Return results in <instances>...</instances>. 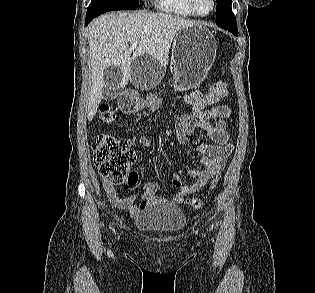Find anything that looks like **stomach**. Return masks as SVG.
<instances>
[{"label": "stomach", "instance_id": "stomach-1", "mask_svg": "<svg viewBox=\"0 0 315 293\" xmlns=\"http://www.w3.org/2000/svg\"><path fill=\"white\" fill-rule=\"evenodd\" d=\"M216 50L215 38L205 26L194 24L181 29L172 46L174 88L187 91L200 85L215 60ZM147 101L153 107L161 102L155 95ZM145 102L146 97L137 92H120L117 96L119 110H140Z\"/></svg>", "mask_w": 315, "mask_h": 293}]
</instances>
